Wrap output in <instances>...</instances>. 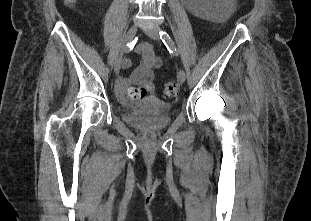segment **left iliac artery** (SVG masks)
<instances>
[{"label":"left iliac artery","mask_w":311,"mask_h":221,"mask_svg":"<svg viewBox=\"0 0 311 221\" xmlns=\"http://www.w3.org/2000/svg\"><path fill=\"white\" fill-rule=\"evenodd\" d=\"M160 38L162 40V42L165 44V46L167 47V49L169 50V52L172 55H178V50L172 40V38L169 36V34L166 31L161 30L159 32Z\"/></svg>","instance_id":"left-iliac-artery-1"}]
</instances>
